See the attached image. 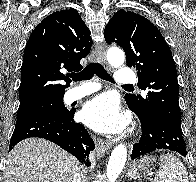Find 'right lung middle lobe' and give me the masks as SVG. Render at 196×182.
Here are the masks:
<instances>
[{
    "label": "right lung middle lobe",
    "mask_w": 196,
    "mask_h": 182,
    "mask_svg": "<svg viewBox=\"0 0 196 182\" xmlns=\"http://www.w3.org/2000/svg\"><path fill=\"white\" fill-rule=\"evenodd\" d=\"M63 103V96L42 99L19 106L17 121L42 114L63 115L69 113Z\"/></svg>",
    "instance_id": "right-lung-middle-lobe-1"
}]
</instances>
